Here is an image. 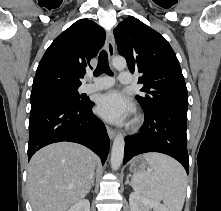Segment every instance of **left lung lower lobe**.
<instances>
[{
	"label": "left lung lower lobe",
	"instance_id": "left-lung-lower-lobe-1",
	"mask_svg": "<svg viewBox=\"0 0 221 211\" xmlns=\"http://www.w3.org/2000/svg\"><path fill=\"white\" fill-rule=\"evenodd\" d=\"M144 113L145 122L141 132L125 138L123 164L138 154L160 152L175 158L188 173L187 108L167 106Z\"/></svg>",
	"mask_w": 221,
	"mask_h": 211
}]
</instances>
